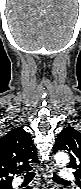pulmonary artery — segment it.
<instances>
[{
	"label": "pulmonary artery",
	"instance_id": "obj_1",
	"mask_svg": "<svg viewBox=\"0 0 81 189\" xmlns=\"http://www.w3.org/2000/svg\"><path fill=\"white\" fill-rule=\"evenodd\" d=\"M60 177L64 180V181H70L74 179V174L70 169L67 168H63L60 172ZM20 184V181L19 183Z\"/></svg>",
	"mask_w": 81,
	"mask_h": 189
}]
</instances>
